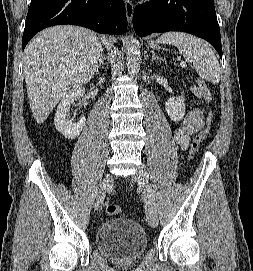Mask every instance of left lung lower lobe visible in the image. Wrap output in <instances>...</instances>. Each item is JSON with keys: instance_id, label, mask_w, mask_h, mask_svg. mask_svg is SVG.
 <instances>
[{"instance_id": "obj_1", "label": "left lung lower lobe", "mask_w": 253, "mask_h": 271, "mask_svg": "<svg viewBox=\"0 0 253 271\" xmlns=\"http://www.w3.org/2000/svg\"><path fill=\"white\" fill-rule=\"evenodd\" d=\"M133 26L139 36L182 31L207 40L222 57L214 0H153L137 5Z\"/></svg>"}]
</instances>
